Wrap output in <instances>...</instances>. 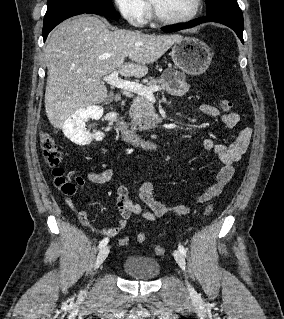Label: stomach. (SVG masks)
Here are the masks:
<instances>
[{
	"label": "stomach",
	"instance_id": "0dacf381",
	"mask_svg": "<svg viewBox=\"0 0 284 319\" xmlns=\"http://www.w3.org/2000/svg\"><path fill=\"white\" fill-rule=\"evenodd\" d=\"M171 57L175 65L189 75L204 73L212 61L209 46L194 37H182L176 41L171 50Z\"/></svg>",
	"mask_w": 284,
	"mask_h": 319
}]
</instances>
